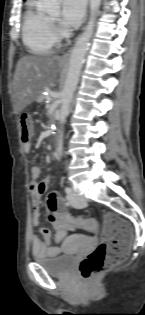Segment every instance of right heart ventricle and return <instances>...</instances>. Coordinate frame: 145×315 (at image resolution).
I'll list each match as a JSON object with an SVG mask.
<instances>
[{"label":"right heart ventricle","mask_w":145,"mask_h":315,"mask_svg":"<svg viewBox=\"0 0 145 315\" xmlns=\"http://www.w3.org/2000/svg\"><path fill=\"white\" fill-rule=\"evenodd\" d=\"M22 38L27 50L35 55L49 54L56 47L48 16L39 8L38 0H29L23 16Z\"/></svg>","instance_id":"e07e8e85"}]
</instances>
